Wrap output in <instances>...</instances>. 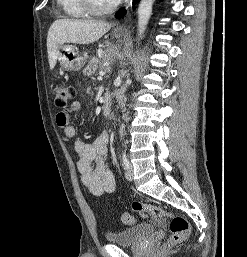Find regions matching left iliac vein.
Segmentation results:
<instances>
[{"mask_svg": "<svg viewBox=\"0 0 247 257\" xmlns=\"http://www.w3.org/2000/svg\"><path fill=\"white\" fill-rule=\"evenodd\" d=\"M125 177L129 181H132L134 178V168L131 164L129 165V168L126 170Z\"/></svg>", "mask_w": 247, "mask_h": 257, "instance_id": "1", "label": "left iliac vein"}]
</instances>
